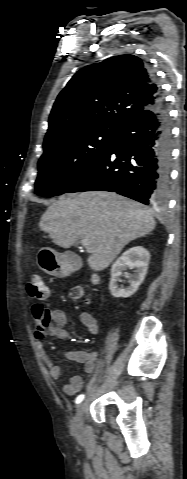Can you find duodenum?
I'll return each instance as SVG.
<instances>
[{"instance_id":"410a0bca","label":"duodenum","mask_w":187,"mask_h":479,"mask_svg":"<svg viewBox=\"0 0 187 479\" xmlns=\"http://www.w3.org/2000/svg\"><path fill=\"white\" fill-rule=\"evenodd\" d=\"M69 262H70V263H71V265H73V266H75V265H76V262H75V260H74V259H71V258H70V259H69ZM93 281H94V282H97V277H95V278L93 279Z\"/></svg>"}]
</instances>
